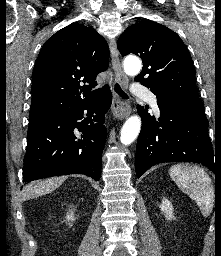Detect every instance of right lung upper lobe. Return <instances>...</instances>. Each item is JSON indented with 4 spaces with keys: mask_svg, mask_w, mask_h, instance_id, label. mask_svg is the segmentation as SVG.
<instances>
[{
    "mask_svg": "<svg viewBox=\"0 0 221 256\" xmlns=\"http://www.w3.org/2000/svg\"><path fill=\"white\" fill-rule=\"evenodd\" d=\"M108 62V44L94 28L74 23L56 32L41 48L33 69V121L97 97L108 88L92 90Z\"/></svg>",
    "mask_w": 221,
    "mask_h": 256,
    "instance_id": "1",
    "label": "right lung upper lobe"
}]
</instances>
